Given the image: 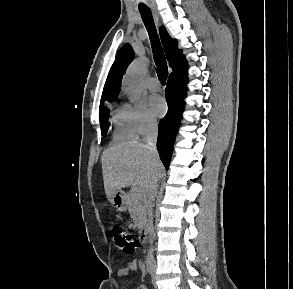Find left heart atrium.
Returning <instances> with one entry per match:
<instances>
[{"instance_id": "obj_1", "label": "left heart atrium", "mask_w": 293, "mask_h": 289, "mask_svg": "<svg viewBox=\"0 0 293 289\" xmlns=\"http://www.w3.org/2000/svg\"><path fill=\"white\" fill-rule=\"evenodd\" d=\"M149 105L152 113L157 117L163 116L166 112V103L159 95L151 96L149 99Z\"/></svg>"}]
</instances>
